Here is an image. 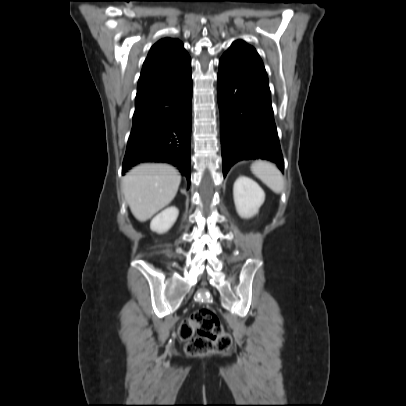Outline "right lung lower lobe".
Masks as SVG:
<instances>
[{"label": "right lung lower lobe", "instance_id": "1", "mask_svg": "<svg viewBox=\"0 0 406 406\" xmlns=\"http://www.w3.org/2000/svg\"><path fill=\"white\" fill-rule=\"evenodd\" d=\"M192 71L188 67L170 82L136 95L133 126L122 174L140 162L177 166L190 185Z\"/></svg>", "mask_w": 406, "mask_h": 406}]
</instances>
